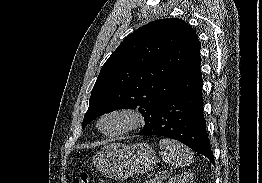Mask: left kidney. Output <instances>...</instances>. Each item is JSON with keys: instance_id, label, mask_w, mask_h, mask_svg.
I'll return each instance as SVG.
<instances>
[{"instance_id": "obj_1", "label": "left kidney", "mask_w": 262, "mask_h": 183, "mask_svg": "<svg viewBox=\"0 0 262 183\" xmlns=\"http://www.w3.org/2000/svg\"><path fill=\"white\" fill-rule=\"evenodd\" d=\"M193 178L194 177L191 172H184L170 178L168 183H193Z\"/></svg>"}]
</instances>
